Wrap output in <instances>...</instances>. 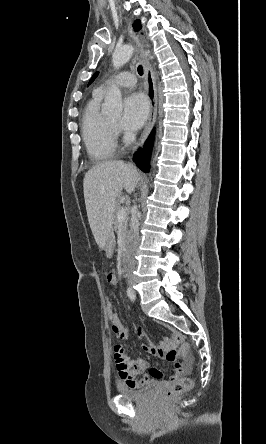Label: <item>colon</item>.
<instances>
[{
	"label": "colon",
	"mask_w": 266,
	"mask_h": 444,
	"mask_svg": "<svg viewBox=\"0 0 266 444\" xmlns=\"http://www.w3.org/2000/svg\"><path fill=\"white\" fill-rule=\"evenodd\" d=\"M105 311L109 319H113L118 315L114 305L110 300L106 301ZM188 345L186 343L181 344L179 350L177 351L180 355H185L188 352ZM193 385V381L191 378L182 377L175 380L169 387L166 389L160 396L159 402L162 405L167 404L173 397L178 394L190 389Z\"/></svg>",
	"instance_id": "obj_1"
}]
</instances>
